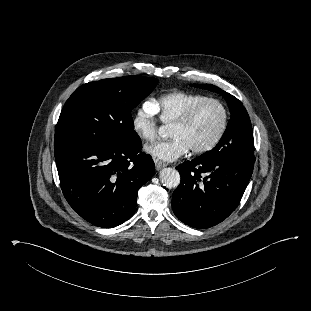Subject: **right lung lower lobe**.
<instances>
[{"instance_id": "obj_1", "label": "right lung lower lobe", "mask_w": 311, "mask_h": 311, "mask_svg": "<svg viewBox=\"0 0 311 311\" xmlns=\"http://www.w3.org/2000/svg\"><path fill=\"white\" fill-rule=\"evenodd\" d=\"M141 140L122 147L71 143L55 147L62 192L83 219L102 228L134 213L137 192L153 175L154 162Z\"/></svg>"}]
</instances>
